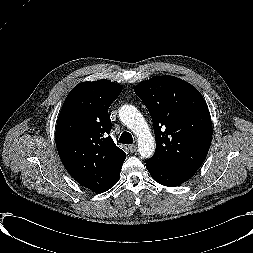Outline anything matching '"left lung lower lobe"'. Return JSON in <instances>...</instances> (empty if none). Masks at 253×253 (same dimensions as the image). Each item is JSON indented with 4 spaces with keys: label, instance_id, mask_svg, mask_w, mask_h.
<instances>
[{
    "label": "left lung lower lobe",
    "instance_id": "obj_1",
    "mask_svg": "<svg viewBox=\"0 0 253 253\" xmlns=\"http://www.w3.org/2000/svg\"><path fill=\"white\" fill-rule=\"evenodd\" d=\"M146 168L156 182L168 187L178 186L196 173V171L193 170L166 169L147 163Z\"/></svg>",
    "mask_w": 253,
    "mask_h": 253
}]
</instances>
